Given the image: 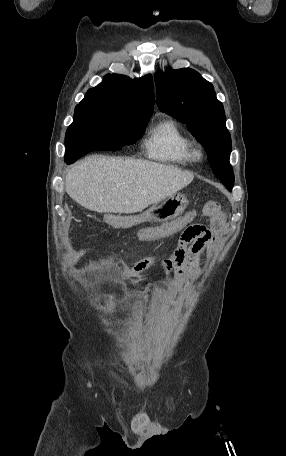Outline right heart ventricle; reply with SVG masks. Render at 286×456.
Returning <instances> with one entry per match:
<instances>
[{"mask_svg":"<svg viewBox=\"0 0 286 456\" xmlns=\"http://www.w3.org/2000/svg\"><path fill=\"white\" fill-rule=\"evenodd\" d=\"M192 142L173 119H165L154 126L145 140L147 155L155 160L187 164L191 159Z\"/></svg>","mask_w":286,"mask_h":456,"instance_id":"obj_1","label":"right heart ventricle"}]
</instances>
